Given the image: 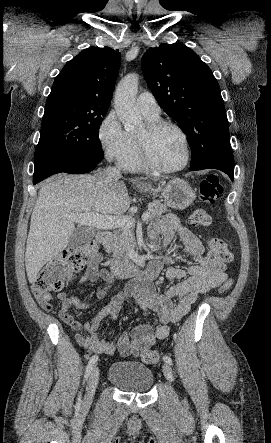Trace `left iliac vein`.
<instances>
[{
	"label": "left iliac vein",
	"mask_w": 271,
	"mask_h": 443,
	"mask_svg": "<svg viewBox=\"0 0 271 443\" xmlns=\"http://www.w3.org/2000/svg\"><path fill=\"white\" fill-rule=\"evenodd\" d=\"M162 371H163V374H164L165 378L169 382L172 383L174 381V377H173V373H172V369H171L170 365L167 364V363L163 364Z\"/></svg>",
	"instance_id": "left-iliac-vein-1"
}]
</instances>
